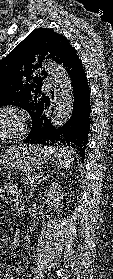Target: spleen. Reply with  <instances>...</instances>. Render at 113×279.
<instances>
[{
  "label": "spleen",
  "instance_id": "1",
  "mask_svg": "<svg viewBox=\"0 0 113 279\" xmlns=\"http://www.w3.org/2000/svg\"><path fill=\"white\" fill-rule=\"evenodd\" d=\"M46 149L56 158L57 165L60 168H69L74 158L72 156L73 151L64 147L49 146Z\"/></svg>",
  "mask_w": 113,
  "mask_h": 279
}]
</instances>
